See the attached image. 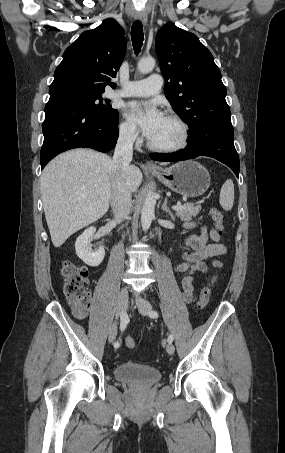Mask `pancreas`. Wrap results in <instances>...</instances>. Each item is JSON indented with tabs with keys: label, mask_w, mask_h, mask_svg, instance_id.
Returning <instances> with one entry per match:
<instances>
[{
	"label": "pancreas",
	"mask_w": 285,
	"mask_h": 453,
	"mask_svg": "<svg viewBox=\"0 0 285 453\" xmlns=\"http://www.w3.org/2000/svg\"><path fill=\"white\" fill-rule=\"evenodd\" d=\"M183 206L184 208L175 210L176 216L182 221H191L192 218L196 217L201 210L200 205L194 206L193 204H185Z\"/></svg>",
	"instance_id": "1"
}]
</instances>
